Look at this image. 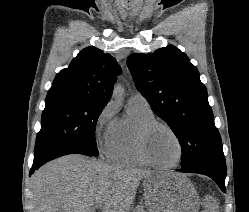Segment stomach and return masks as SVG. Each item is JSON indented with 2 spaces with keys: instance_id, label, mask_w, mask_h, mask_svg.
<instances>
[{
  "instance_id": "0dacf381",
  "label": "stomach",
  "mask_w": 249,
  "mask_h": 212,
  "mask_svg": "<svg viewBox=\"0 0 249 212\" xmlns=\"http://www.w3.org/2000/svg\"><path fill=\"white\" fill-rule=\"evenodd\" d=\"M143 186L148 212H198L199 210L197 190L190 184L188 178L177 174V170H154V175L144 178Z\"/></svg>"
}]
</instances>
